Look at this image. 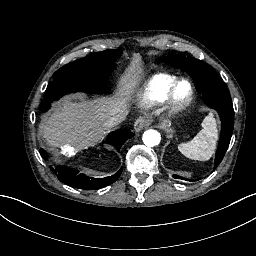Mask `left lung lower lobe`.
<instances>
[{
	"label": "left lung lower lobe",
	"mask_w": 256,
	"mask_h": 256,
	"mask_svg": "<svg viewBox=\"0 0 256 256\" xmlns=\"http://www.w3.org/2000/svg\"><path fill=\"white\" fill-rule=\"evenodd\" d=\"M174 178H179V179H183L180 176L174 175Z\"/></svg>",
	"instance_id": "obj_1"
}]
</instances>
